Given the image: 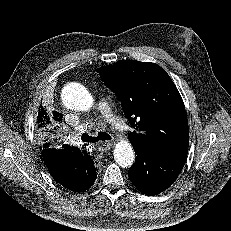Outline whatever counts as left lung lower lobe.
Here are the masks:
<instances>
[{
    "label": "left lung lower lobe",
    "mask_w": 231,
    "mask_h": 231,
    "mask_svg": "<svg viewBox=\"0 0 231 231\" xmlns=\"http://www.w3.org/2000/svg\"><path fill=\"white\" fill-rule=\"evenodd\" d=\"M136 160L129 169L131 182L142 193L157 195L169 188L177 179L186 156H166L147 147L134 148Z\"/></svg>",
    "instance_id": "left-lung-lower-lobe-1"
}]
</instances>
